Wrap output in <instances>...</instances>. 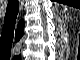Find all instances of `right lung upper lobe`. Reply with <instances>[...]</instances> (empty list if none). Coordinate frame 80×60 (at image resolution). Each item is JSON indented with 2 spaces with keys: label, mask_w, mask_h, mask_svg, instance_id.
<instances>
[{
  "label": "right lung upper lobe",
  "mask_w": 80,
  "mask_h": 60,
  "mask_svg": "<svg viewBox=\"0 0 80 60\" xmlns=\"http://www.w3.org/2000/svg\"><path fill=\"white\" fill-rule=\"evenodd\" d=\"M23 28H24V22L21 20L18 23V27H17L16 35H15V41H19L20 38L22 37V35H23Z\"/></svg>",
  "instance_id": "1"
}]
</instances>
